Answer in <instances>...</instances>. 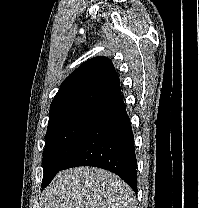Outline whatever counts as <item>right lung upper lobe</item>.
I'll list each match as a JSON object with an SVG mask.
<instances>
[{"label": "right lung upper lobe", "instance_id": "cb5924a9", "mask_svg": "<svg viewBox=\"0 0 199 208\" xmlns=\"http://www.w3.org/2000/svg\"><path fill=\"white\" fill-rule=\"evenodd\" d=\"M120 95V80L111 60L94 57L64 80L51 103L49 116L77 108H101Z\"/></svg>", "mask_w": 199, "mask_h": 208}]
</instances>
